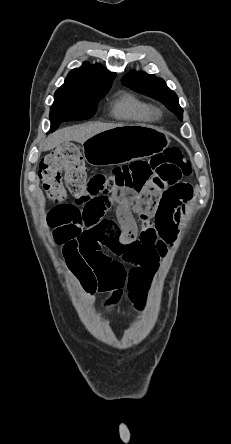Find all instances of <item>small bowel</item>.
<instances>
[{
  "mask_svg": "<svg viewBox=\"0 0 231 444\" xmlns=\"http://www.w3.org/2000/svg\"><path fill=\"white\" fill-rule=\"evenodd\" d=\"M105 182L104 174H95L87 197L62 204L69 220L53 236L64 252L73 250L81 257V265L69 269L84 291L89 296L112 292V301H118L124 288L135 297L148 287L177 237L193 189L187 183L168 187L151 182L142 190L121 189L102 197L98 189ZM111 208L117 222L105 216Z\"/></svg>",
  "mask_w": 231,
  "mask_h": 444,
  "instance_id": "1",
  "label": "small bowel"
}]
</instances>
